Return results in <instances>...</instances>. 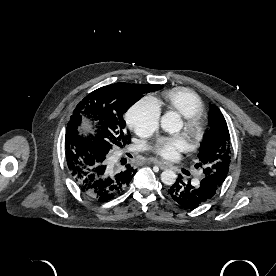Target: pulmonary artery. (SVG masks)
I'll use <instances>...</instances> for the list:
<instances>
[{
	"mask_svg": "<svg viewBox=\"0 0 276 276\" xmlns=\"http://www.w3.org/2000/svg\"><path fill=\"white\" fill-rule=\"evenodd\" d=\"M140 147H133L132 149L133 150H138Z\"/></svg>",
	"mask_w": 276,
	"mask_h": 276,
	"instance_id": "e3ab8cb5",
	"label": "pulmonary artery"
}]
</instances>
